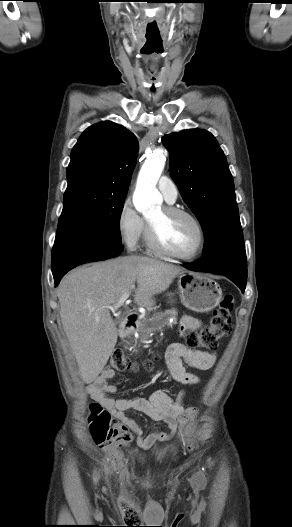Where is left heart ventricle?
Segmentation results:
<instances>
[{
	"mask_svg": "<svg viewBox=\"0 0 292 527\" xmlns=\"http://www.w3.org/2000/svg\"><path fill=\"white\" fill-rule=\"evenodd\" d=\"M156 228L162 244L169 250L191 253L198 242V231L192 220L182 215H167L163 207L148 216Z\"/></svg>",
	"mask_w": 292,
	"mask_h": 527,
	"instance_id": "left-heart-ventricle-1",
	"label": "left heart ventricle"
}]
</instances>
